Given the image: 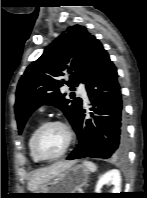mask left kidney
<instances>
[{"label": "left kidney", "mask_w": 147, "mask_h": 198, "mask_svg": "<svg viewBox=\"0 0 147 198\" xmlns=\"http://www.w3.org/2000/svg\"><path fill=\"white\" fill-rule=\"evenodd\" d=\"M105 184L114 185L111 193H120L121 192V176L120 172L117 169H112L102 175L99 181L96 184L95 193H101V188Z\"/></svg>", "instance_id": "1"}]
</instances>
